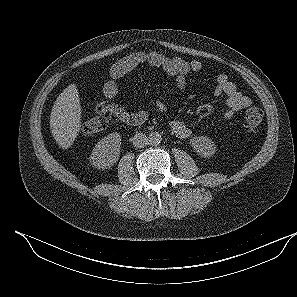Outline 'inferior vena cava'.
Listing matches in <instances>:
<instances>
[{"instance_id":"602c4592","label":"inferior vena cava","mask_w":297,"mask_h":297,"mask_svg":"<svg viewBox=\"0 0 297 297\" xmlns=\"http://www.w3.org/2000/svg\"><path fill=\"white\" fill-rule=\"evenodd\" d=\"M148 142L147 135L142 132H137L132 138L133 146L137 148L144 147Z\"/></svg>"}]
</instances>
